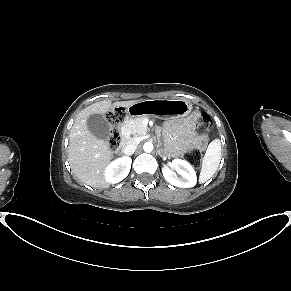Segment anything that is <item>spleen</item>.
I'll return each mask as SVG.
<instances>
[{
	"label": "spleen",
	"mask_w": 291,
	"mask_h": 291,
	"mask_svg": "<svg viewBox=\"0 0 291 291\" xmlns=\"http://www.w3.org/2000/svg\"><path fill=\"white\" fill-rule=\"evenodd\" d=\"M221 159V142L213 140L206 150L202 160V168L199 176L200 183H205L217 171Z\"/></svg>",
	"instance_id": "1"
}]
</instances>
